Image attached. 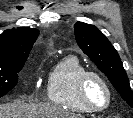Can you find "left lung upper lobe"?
<instances>
[{
	"label": "left lung upper lobe",
	"mask_w": 133,
	"mask_h": 118,
	"mask_svg": "<svg viewBox=\"0 0 133 118\" xmlns=\"http://www.w3.org/2000/svg\"><path fill=\"white\" fill-rule=\"evenodd\" d=\"M74 29L79 47L108 77L121 97L133 108V92L116 49L94 25L77 22Z\"/></svg>",
	"instance_id": "1"
}]
</instances>
